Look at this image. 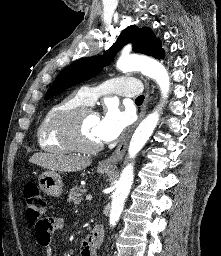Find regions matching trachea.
Here are the masks:
<instances>
[{
	"label": "trachea",
	"instance_id": "1",
	"mask_svg": "<svg viewBox=\"0 0 221 256\" xmlns=\"http://www.w3.org/2000/svg\"><path fill=\"white\" fill-rule=\"evenodd\" d=\"M135 101L142 103L144 101V95L137 97Z\"/></svg>",
	"mask_w": 221,
	"mask_h": 256
}]
</instances>
